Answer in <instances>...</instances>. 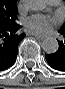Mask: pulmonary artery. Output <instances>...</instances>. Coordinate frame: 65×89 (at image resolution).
<instances>
[{"label": "pulmonary artery", "mask_w": 65, "mask_h": 89, "mask_svg": "<svg viewBox=\"0 0 65 89\" xmlns=\"http://www.w3.org/2000/svg\"><path fill=\"white\" fill-rule=\"evenodd\" d=\"M50 3H51V4H56L57 1H56V0H50Z\"/></svg>", "instance_id": "1"}]
</instances>
